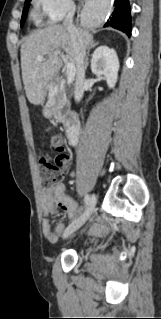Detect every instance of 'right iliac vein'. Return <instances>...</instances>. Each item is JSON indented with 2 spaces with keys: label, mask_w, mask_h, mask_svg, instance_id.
<instances>
[{
  "label": "right iliac vein",
  "mask_w": 161,
  "mask_h": 319,
  "mask_svg": "<svg viewBox=\"0 0 161 319\" xmlns=\"http://www.w3.org/2000/svg\"><path fill=\"white\" fill-rule=\"evenodd\" d=\"M95 203H96V196L93 195L91 197V200H90L89 205H88L87 209L85 210V212L79 218H77L72 223H70L67 226V228L64 230L63 235H62L63 239L67 238L69 235H71L73 232H75L77 229H79L88 220V218L93 213Z\"/></svg>",
  "instance_id": "obj_1"
}]
</instances>
